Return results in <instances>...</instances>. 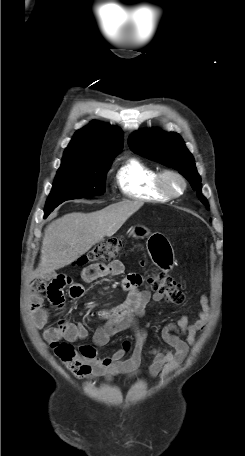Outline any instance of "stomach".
<instances>
[{
	"mask_svg": "<svg viewBox=\"0 0 245 456\" xmlns=\"http://www.w3.org/2000/svg\"><path fill=\"white\" fill-rule=\"evenodd\" d=\"M130 234L134 238L149 236L147 250L153 263L163 271H169L174 265V251L169 240L162 234L150 235L149 230L142 225L131 228Z\"/></svg>",
	"mask_w": 245,
	"mask_h": 456,
	"instance_id": "0dacf381",
	"label": "stomach"
}]
</instances>
